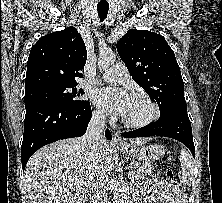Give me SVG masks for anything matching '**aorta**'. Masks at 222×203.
Listing matches in <instances>:
<instances>
[{
    "mask_svg": "<svg viewBox=\"0 0 222 203\" xmlns=\"http://www.w3.org/2000/svg\"><path fill=\"white\" fill-rule=\"evenodd\" d=\"M116 56L114 53H100L98 58V67L100 70H106L110 65L115 62ZM113 203H124L123 195L119 188L114 192Z\"/></svg>",
    "mask_w": 222,
    "mask_h": 203,
    "instance_id": "1",
    "label": "aorta"
}]
</instances>
